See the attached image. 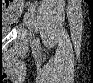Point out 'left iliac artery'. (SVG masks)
<instances>
[{"mask_svg": "<svg viewBox=\"0 0 93 83\" xmlns=\"http://www.w3.org/2000/svg\"><path fill=\"white\" fill-rule=\"evenodd\" d=\"M29 11H30V14L32 15V17H34L35 16V9L31 6L30 8H29ZM37 43L39 44L40 42H39V39H37Z\"/></svg>", "mask_w": 93, "mask_h": 83, "instance_id": "obj_1", "label": "left iliac artery"}]
</instances>
